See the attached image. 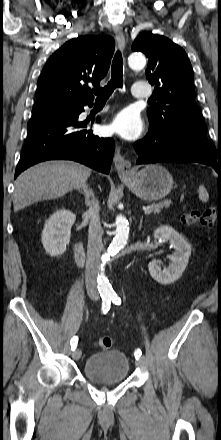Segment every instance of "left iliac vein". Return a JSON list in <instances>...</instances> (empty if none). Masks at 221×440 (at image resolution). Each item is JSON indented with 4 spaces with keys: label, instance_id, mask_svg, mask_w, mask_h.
<instances>
[{
    "label": "left iliac vein",
    "instance_id": "left-iliac-vein-1",
    "mask_svg": "<svg viewBox=\"0 0 221 440\" xmlns=\"http://www.w3.org/2000/svg\"><path fill=\"white\" fill-rule=\"evenodd\" d=\"M136 366H143V360L142 359H138L135 361Z\"/></svg>",
    "mask_w": 221,
    "mask_h": 440
}]
</instances>
